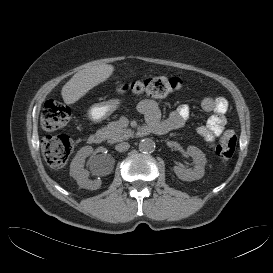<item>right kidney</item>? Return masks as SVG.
I'll list each match as a JSON object with an SVG mask.
<instances>
[{
    "mask_svg": "<svg viewBox=\"0 0 273 273\" xmlns=\"http://www.w3.org/2000/svg\"><path fill=\"white\" fill-rule=\"evenodd\" d=\"M92 152L91 146L82 147L70 164V176L77 181L80 187L86 189H94L93 182L88 179V171L83 167L86 157L90 156Z\"/></svg>",
    "mask_w": 273,
    "mask_h": 273,
    "instance_id": "right-kidney-1",
    "label": "right kidney"
}]
</instances>
